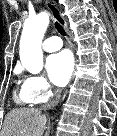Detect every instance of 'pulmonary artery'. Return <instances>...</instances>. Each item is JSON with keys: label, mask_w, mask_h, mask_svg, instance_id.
Segmentation results:
<instances>
[{"label": "pulmonary artery", "mask_w": 117, "mask_h": 136, "mask_svg": "<svg viewBox=\"0 0 117 136\" xmlns=\"http://www.w3.org/2000/svg\"><path fill=\"white\" fill-rule=\"evenodd\" d=\"M63 45L62 40L57 36H52L47 38L43 44L42 47L46 52H54L58 49H60Z\"/></svg>", "instance_id": "e3ab8cb5"}]
</instances>
